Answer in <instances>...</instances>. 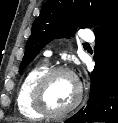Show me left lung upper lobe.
<instances>
[{
  "instance_id": "obj_1",
  "label": "left lung upper lobe",
  "mask_w": 118,
  "mask_h": 123,
  "mask_svg": "<svg viewBox=\"0 0 118 123\" xmlns=\"http://www.w3.org/2000/svg\"><path fill=\"white\" fill-rule=\"evenodd\" d=\"M118 14V0H48L32 25L22 71L52 39L73 36L76 29L100 24L103 29ZM95 34L98 28L94 29Z\"/></svg>"
}]
</instances>
